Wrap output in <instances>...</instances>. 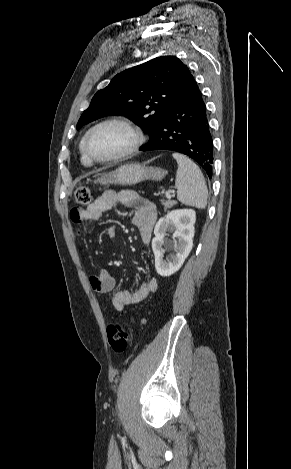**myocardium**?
<instances>
[{
	"mask_svg": "<svg viewBox=\"0 0 291 469\" xmlns=\"http://www.w3.org/2000/svg\"><path fill=\"white\" fill-rule=\"evenodd\" d=\"M108 124H119L127 128L133 136V141L131 145L125 151L115 156H112L109 158H96L90 153V150H89L90 137L96 129L104 125H108ZM144 141H145V136H144L143 131L136 124H134L131 120L124 118V117H111V118L105 119L95 124L93 127H91L87 131L84 137V141H83V151H84L85 156L92 163L106 164V163L116 162V161H119V160H122L131 156L143 145Z\"/></svg>",
	"mask_w": 291,
	"mask_h": 469,
	"instance_id": "f54148a6",
	"label": "myocardium"
}]
</instances>
